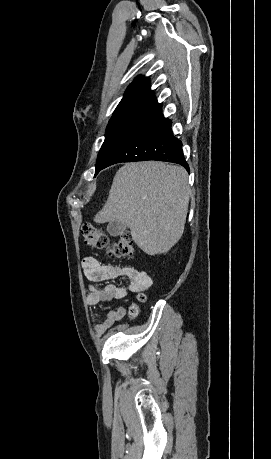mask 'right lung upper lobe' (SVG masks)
<instances>
[{
	"label": "right lung upper lobe",
	"instance_id": "right-lung-upper-lobe-1",
	"mask_svg": "<svg viewBox=\"0 0 271 459\" xmlns=\"http://www.w3.org/2000/svg\"><path fill=\"white\" fill-rule=\"evenodd\" d=\"M130 111H150L161 114L156 97L150 90V80L139 76L127 88L113 114Z\"/></svg>",
	"mask_w": 271,
	"mask_h": 459
}]
</instances>
